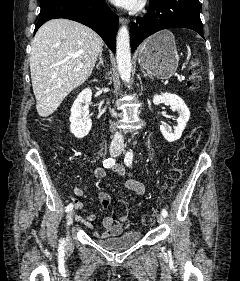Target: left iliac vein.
<instances>
[{"label": "left iliac vein", "mask_w": 240, "mask_h": 281, "mask_svg": "<svg viewBox=\"0 0 240 281\" xmlns=\"http://www.w3.org/2000/svg\"><path fill=\"white\" fill-rule=\"evenodd\" d=\"M121 151H122V149L119 150V153H121ZM157 222H158L159 224H162V223L164 222V216H163L162 214H159V215L157 216Z\"/></svg>", "instance_id": "4c4485c4"}]
</instances>
